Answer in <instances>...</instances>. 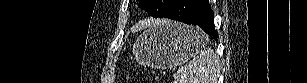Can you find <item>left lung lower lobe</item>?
Masks as SVG:
<instances>
[{"mask_svg":"<svg viewBox=\"0 0 307 83\" xmlns=\"http://www.w3.org/2000/svg\"><path fill=\"white\" fill-rule=\"evenodd\" d=\"M164 17L187 24H196L217 40L214 14L208 0H174Z\"/></svg>","mask_w":307,"mask_h":83,"instance_id":"1","label":"left lung lower lobe"}]
</instances>
